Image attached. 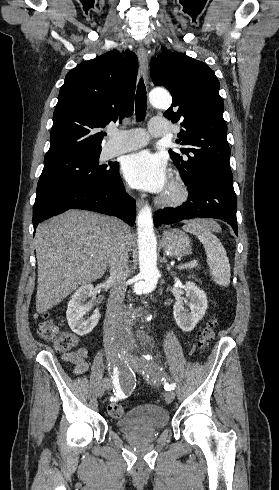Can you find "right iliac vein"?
<instances>
[{
  "mask_svg": "<svg viewBox=\"0 0 279 490\" xmlns=\"http://www.w3.org/2000/svg\"><path fill=\"white\" fill-rule=\"evenodd\" d=\"M108 360L113 366H115L117 364V355L109 353ZM109 387H110V379L105 378L100 384L98 396L101 397L104 393V390L108 389Z\"/></svg>",
  "mask_w": 279,
  "mask_h": 490,
  "instance_id": "right-iliac-vein-1",
  "label": "right iliac vein"
}]
</instances>
